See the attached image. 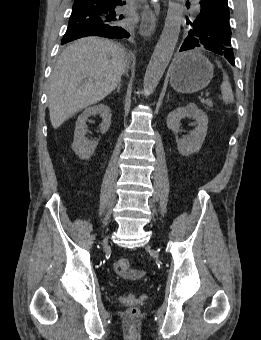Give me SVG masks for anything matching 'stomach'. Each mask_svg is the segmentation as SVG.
I'll use <instances>...</instances> for the list:
<instances>
[{
    "label": "stomach",
    "mask_w": 261,
    "mask_h": 340,
    "mask_svg": "<svg viewBox=\"0 0 261 340\" xmlns=\"http://www.w3.org/2000/svg\"><path fill=\"white\" fill-rule=\"evenodd\" d=\"M213 78V65L202 54L190 51L178 56L170 68V84L180 93L205 88Z\"/></svg>",
    "instance_id": "stomach-1"
}]
</instances>
